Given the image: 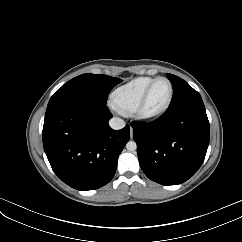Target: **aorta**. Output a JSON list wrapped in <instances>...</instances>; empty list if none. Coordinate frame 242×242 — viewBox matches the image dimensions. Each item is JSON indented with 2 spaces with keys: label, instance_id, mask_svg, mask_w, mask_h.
Segmentation results:
<instances>
[{
  "label": "aorta",
  "instance_id": "aorta-1",
  "mask_svg": "<svg viewBox=\"0 0 242 242\" xmlns=\"http://www.w3.org/2000/svg\"><path fill=\"white\" fill-rule=\"evenodd\" d=\"M126 148L128 151H135L136 148H137V144L135 141H129L127 144H126Z\"/></svg>",
  "mask_w": 242,
  "mask_h": 242
}]
</instances>
